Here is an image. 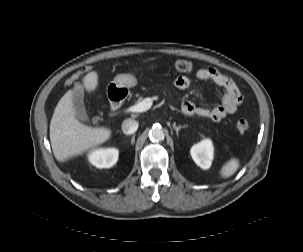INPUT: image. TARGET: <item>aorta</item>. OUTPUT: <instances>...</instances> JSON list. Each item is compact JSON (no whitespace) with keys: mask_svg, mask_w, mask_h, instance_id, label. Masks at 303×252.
Returning a JSON list of instances; mask_svg holds the SVG:
<instances>
[{"mask_svg":"<svg viewBox=\"0 0 303 252\" xmlns=\"http://www.w3.org/2000/svg\"><path fill=\"white\" fill-rule=\"evenodd\" d=\"M149 138L152 141H161L164 139V132L161 127L154 126L149 131Z\"/></svg>","mask_w":303,"mask_h":252,"instance_id":"aorta-1","label":"aorta"}]
</instances>
